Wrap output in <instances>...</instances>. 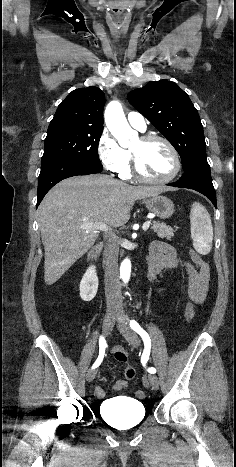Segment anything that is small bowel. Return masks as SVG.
Listing matches in <instances>:
<instances>
[{"instance_id": "c3829d8e", "label": "small bowel", "mask_w": 236, "mask_h": 467, "mask_svg": "<svg viewBox=\"0 0 236 467\" xmlns=\"http://www.w3.org/2000/svg\"><path fill=\"white\" fill-rule=\"evenodd\" d=\"M149 259V273L151 277L155 276L156 274L165 269H172L178 266L183 267L188 275V294L191 301L196 304H201L205 301L210 283V268L207 263L203 262L201 267L196 269L191 263L179 260L176 256L174 248L168 243L162 241H156L152 244L149 251ZM118 352H122L126 355L122 348L115 347L113 349L114 357ZM117 361L126 362L127 355L124 361ZM134 377V367L130 364H127L125 367V378L118 380L114 384V390L121 391L128 388L129 381L132 380ZM99 380L101 382H106L107 377L101 376ZM95 394L99 398L105 397V391L101 387L95 388Z\"/></svg>"}]
</instances>
